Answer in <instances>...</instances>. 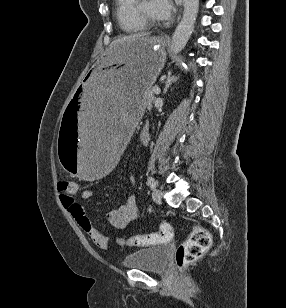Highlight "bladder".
I'll list each match as a JSON object with an SVG mask.
<instances>
[{"mask_svg": "<svg viewBox=\"0 0 286 308\" xmlns=\"http://www.w3.org/2000/svg\"><path fill=\"white\" fill-rule=\"evenodd\" d=\"M168 255L167 245H155L129 254L124 258L122 264L125 268L162 272L166 269Z\"/></svg>", "mask_w": 286, "mask_h": 308, "instance_id": "31cf9c89", "label": "bladder"}]
</instances>
